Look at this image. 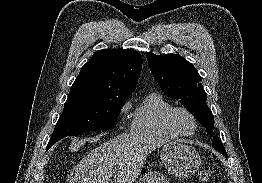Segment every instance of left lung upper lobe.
Instances as JSON below:
<instances>
[{
  "mask_svg": "<svg viewBox=\"0 0 262 183\" xmlns=\"http://www.w3.org/2000/svg\"><path fill=\"white\" fill-rule=\"evenodd\" d=\"M150 70L161 89L177 99L213 136L214 117L207 106V94L201 76L195 67L177 54H146ZM212 146L227 155L218 136H213Z\"/></svg>",
  "mask_w": 262,
  "mask_h": 183,
  "instance_id": "1",
  "label": "left lung upper lobe"
}]
</instances>
